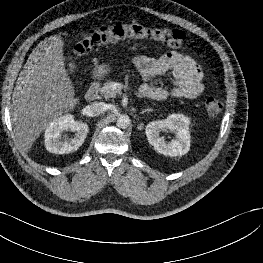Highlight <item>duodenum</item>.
<instances>
[{
	"instance_id": "duodenum-1",
	"label": "duodenum",
	"mask_w": 263,
	"mask_h": 263,
	"mask_svg": "<svg viewBox=\"0 0 263 263\" xmlns=\"http://www.w3.org/2000/svg\"><path fill=\"white\" fill-rule=\"evenodd\" d=\"M99 92V84L97 82H93L85 92V99L87 101H93L96 99Z\"/></svg>"
}]
</instances>
